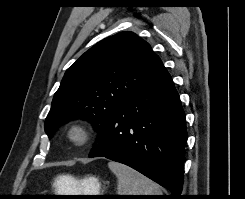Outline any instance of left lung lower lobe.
<instances>
[{"instance_id":"left-lung-lower-lobe-1","label":"left lung lower lobe","mask_w":245,"mask_h":199,"mask_svg":"<svg viewBox=\"0 0 245 199\" xmlns=\"http://www.w3.org/2000/svg\"><path fill=\"white\" fill-rule=\"evenodd\" d=\"M186 141L185 113L172 78L161 64L143 88L111 113L89 156L130 166L178 199Z\"/></svg>"}]
</instances>
